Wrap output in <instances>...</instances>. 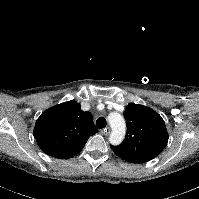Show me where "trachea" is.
<instances>
[{
    "label": "trachea",
    "instance_id": "obj_1",
    "mask_svg": "<svg viewBox=\"0 0 199 199\" xmlns=\"http://www.w3.org/2000/svg\"><path fill=\"white\" fill-rule=\"evenodd\" d=\"M96 125H97V127L100 128V129L106 127V120H105V118L99 117V118L96 120Z\"/></svg>",
    "mask_w": 199,
    "mask_h": 199
}]
</instances>
